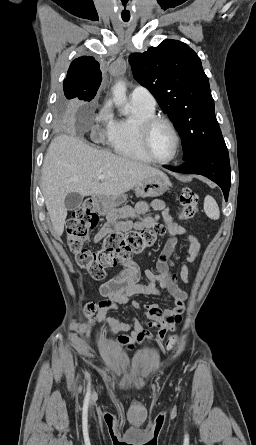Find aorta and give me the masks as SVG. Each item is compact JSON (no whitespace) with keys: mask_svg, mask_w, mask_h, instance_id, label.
<instances>
[{"mask_svg":"<svg viewBox=\"0 0 256 445\" xmlns=\"http://www.w3.org/2000/svg\"><path fill=\"white\" fill-rule=\"evenodd\" d=\"M113 101L116 106H121L126 103V85L123 81H118L113 87Z\"/></svg>","mask_w":256,"mask_h":445,"instance_id":"aorta-1","label":"aorta"}]
</instances>
